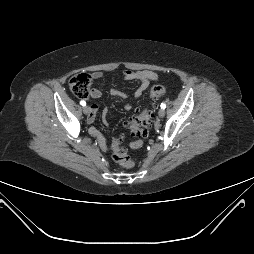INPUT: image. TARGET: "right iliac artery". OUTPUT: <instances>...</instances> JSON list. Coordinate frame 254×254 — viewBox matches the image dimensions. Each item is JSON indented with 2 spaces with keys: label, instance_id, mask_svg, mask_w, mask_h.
Wrapping results in <instances>:
<instances>
[{
  "label": "right iliac artery",
  "instance_id": "82829eb1",
  "mask_svg": "<svg viewBox=\"0 0 254 254\" xmlns=\"http://www.w3.org/2000/svg\"><path fill=\"white\" fill-rule=\"evenodd\" d=\"M80 104H81L82 106H85V105H86V102H85V101H80Z\"/></svg>",
  "mask_w": 254,
  "mask_h": 254
}]
</instances>
